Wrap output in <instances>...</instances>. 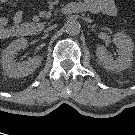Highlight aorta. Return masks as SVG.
Instances as JSON below:
<instances>
[{"instance_id":"aorta-1","label":"aorta","mask_w":135,"mask_h":135,"mask_svg":"<svg viewBox=\"0 0 135 135\" xmlns=\"http://www.w3.org/2000/svg\"><path fill=\"white\" fill-rule=\"evenodd\" d=\"M65 30L70 35H76L81 30L80 23L75 19H71L65 24Z\"/></svg>"}]
</instances>
